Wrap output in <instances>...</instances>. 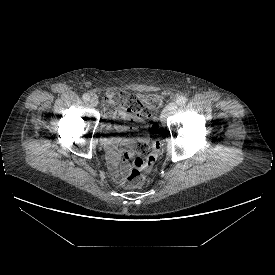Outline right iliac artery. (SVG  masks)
<instances>
[{
	"mask_svg": "<svg viewBox=\"0 0 275 275\" xmlns=\"http://www.w3.org/2000/svg\"><path fill=\"white\" fill-rule=\"evenodd\" d=\"M82 98H83V100H84L85 102H87V101H89V99H90V95L87 94V93H85V94H83Z\"/></svg>",
	"mask_w": 275,
	"mask_h": 275,
	"instance_id": "1",
	"label": "right iliac artery"
}]
</instances>
